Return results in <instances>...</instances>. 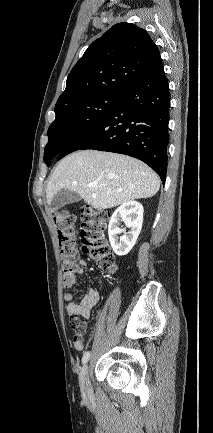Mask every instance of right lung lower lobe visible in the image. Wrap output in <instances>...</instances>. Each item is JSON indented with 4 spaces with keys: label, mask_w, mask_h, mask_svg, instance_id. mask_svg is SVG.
Listing matches in <instances>:
<instances>
[{
    "label": "right lung lower lobe",
    "mask_w": 213,
    "mask_h": 433,
    "mask_svg": "<svg viewBox=\"0 0 213 433\" xmlns=\"http://www.w3.org/2000/svg\"><path fill=\"white\" fill-rule=\"evenodd\" d=\"M169 108V84L160 58L103 120L67 146L58 159L80 149L126 154L148 164L164 184Z\"/></svg>",
    "instance_id": "obj_1"
}]
</instances>
